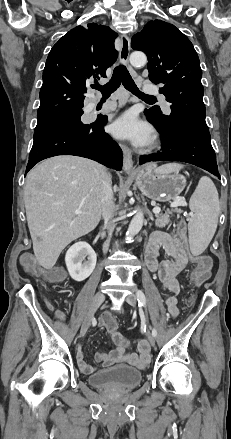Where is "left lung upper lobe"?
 <instances>
[{
	"label": "left lung upper lobe",
	"instance_id": "obj_1",
	"mask_svg": "<svg viewBox=\"0 0 231 439\" xmlns=\"http://www.w3.org/2000/svg\"><path fill=\"white\" fill-rule=\"evenodd\" d=\"M134 50L148 57L149 79L164 86L159 92L171 103V114L149 109L145 115L164 129L172 122H184L208 130L203 103L202 71L191 41L174 25L151 21L132 37Z\"/></svg>",
	"mask_w": 231,
	"mask_h": 439
}]
</instances>
